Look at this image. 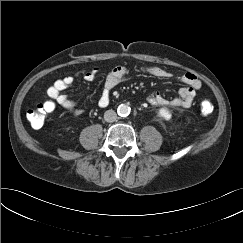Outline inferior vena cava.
<instances>
[{"mask_svg": "<svg viewBox=\"0 0 243 243\" xmlns=\"http://www.w3.org/2000/svg\"><path fill=\"white\" fill-rule=\"evenodd\" d=\"M117 119V115L116 112L114 110H107L104 113V120L106 122H114Z\"/></svg>", "mask_w": 243, "mask_h": 243, "instance_id": "inferior-vena-cava-1", "label": "inferior vena cava"}]
</instances>
